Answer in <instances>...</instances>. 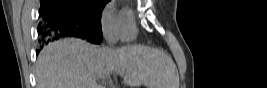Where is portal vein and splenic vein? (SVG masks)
Wrapping results in <instances>:
<instances>
[{
  "mask_svg": "<svg viewBox=\"0 0 267 88\" xmlns=\"http://www.w3.org/2000/svg\"><path fill=\"white\" fill-rule=\"evenodd\" d=\"M115 73H116L117 75H122V72H121V71H115ZM102 77H104V76H101L100 78H102Z\"/></svg>",
  "mask_w": 267,
  "mask_h": 88,
  "instance_id": "obj_1",
  "label": "portal vein and splenic vein"
}]
</instances>
